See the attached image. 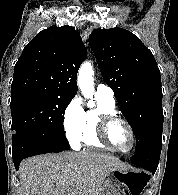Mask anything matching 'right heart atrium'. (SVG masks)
Returning <instances> with one entry per match:
<instances>
[{
    "instance_id": "d8ad5b80",
    "label": "right heart atrium",
    "mask_w": 178,
    "mask_h": 195,
    "mask_svg": "<svg viewBox=\"0 0 178 195\" xmlns=\"http://www.w3.org/2000/svg\"><path fill=\"white\" fill-rule=\"evenodd\" d=\"M85 111L79 96L73 97L63 112V127L72 146H79L85 132Z\"/></svg>"
}]
</instances>
